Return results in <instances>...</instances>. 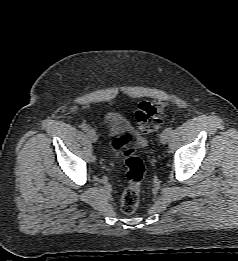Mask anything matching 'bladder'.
<instances>
[{"label":"bladder","instance_id":"obj_1","mask_svg":"<svg viewBox=\"0 0 238 261\" xmlns=\"http://www.w3.org/2000/svg\"><path fill=\"white\" fill-rule=\"evenodd\" d=\"M105 125L109 135L114 139L128 136L129 142L139 148H144L147 145V140L138 132L131 133L127 123L116 113H109L106 116Z\"/></svg>","mask_w":238,"mask_h":261}]
</instances>
